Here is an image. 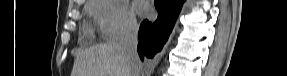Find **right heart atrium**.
<instances>
[{
	"label": "right heart atrium",
	"instance_id": "right-heart-atrium-1",
	"mask_svg": "<svg viewBox=\"0 0 287 76\" xmlns=\"http://www.w3.org/2000/svg\"><path fill=\"white\" fill-rule=\"evenodd\" d=\"M91 13L106 40H119L137 31L138 23L133 11L121 0H95Z\"/></svg>",
	"mask_w": 287,
	"mask_h": 76
}]
</instances>
